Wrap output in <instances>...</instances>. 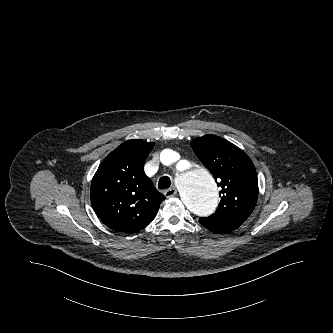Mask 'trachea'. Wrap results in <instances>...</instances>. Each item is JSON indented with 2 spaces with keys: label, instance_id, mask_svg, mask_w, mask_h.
<instances>
[{
  "label": "trachea",
  "instance_id": "3493384b",
  "mask_svg": "<svg viewBox=\"0 0 333 333\" xmlns=\"http://www.w3.org/2000/svg\"><path fill=\"white\" fill-rule=\"evenodd\" d=\"M171 185L170 178L167 176L161 177L158 182V188L159 189H167Z\"/></svg>",
  "mask_w": 333,
  "mask_h": 333
}]
</instances>
